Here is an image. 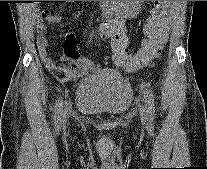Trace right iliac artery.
<instances>
[{
  "instance_id": "right-iliac-artery-1",
  "label": "right iliac artery",
  "mask_w": 207,
  "mask_h": 169,
  "mask_svg": "<svg viewBox=\"0 0 207 169\" xmlns=\"http://www.w3.org/2000/svg\"><path fill=\"white\" fill-rule=\"evenodd\" d=\"M55 122L56 124H58L61 121L62 118V113H63V101L61 100V98L58 99V101L55 104Z\"/></svg>"
}]
</instances>
